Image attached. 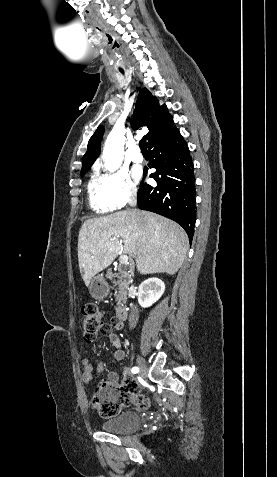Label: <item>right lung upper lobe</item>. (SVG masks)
Instances as JSON below:
<instances>
[{
  "mask_svg": "<svg viewBox=\"0 0 277 477\" xmlns=\"http://www.w3.org/2000/svg\"><path fill=\"white\" fill-rule=\"evenodd\" d=\"M132 126L138 129L147 126L149 132L144 136L148 140V147L166 137L174 128L173 118L168 113L165 104L159 106L158 100L148 89L140 91L135 111L132 116ZM104 127L99 126L88 142L87 151L82 159V169H89L100 153V143Z\"/></svg>",
  "mask_w": 277,
  "mask_h": 477,
  "instance_id": "right-lung-upper-lobe-1",
  "label": "right lung upper lobe"
}]
</instances>
